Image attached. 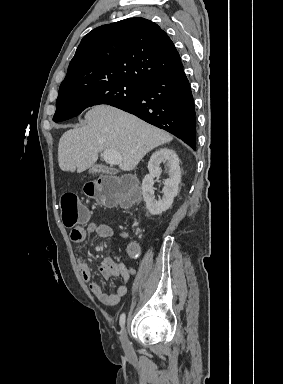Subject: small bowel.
Instances as JSON below:
<instances>
[{"instance_id":"c3829d8e","label":"small bowel","mask_w":283,"mask_h":384,"mask_svg":"<svg viewBox=\"0 0 283 384\" xmlns=\"http://www.w3.org/2000/svg\"><path fill=\"white\" fill-rule=\"evenodd\" d=\"M95 234L101 238H109L113 236L112 228L104 223L89 222L84 226L76 227L71 231L70 238L75 243L84 241L87 236ZM133 256H137L132 254ZM78 269L81 277L88 283L91 293L103 304L114 306L120 302L122 297L128 291V284L131 277L135 274V270L127 268L124 264L115 261L111 257L104 259L99 267V273L104 279L121 277L122 284L111 294L105 293L101 286L92 280V273L88 265L83 261L81 256H77Z\"/></svg>"}]
</instances>
